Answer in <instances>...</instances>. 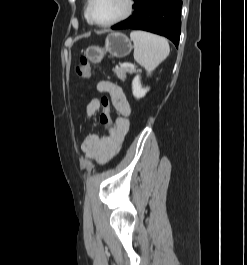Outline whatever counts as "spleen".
<instances>
[{"instance_id":"3e777b00","label":"spleen","mask_w":247,"mask_h":265,"mask_svg":"<svg viewBox=\"0 0 247 265\" xmlns=\"http://www.w3.org/2000/svg\"><path fill=\"white\" fill-rule=\"evenodd\" d=\"M130 38L134 43V59L148 74L169 55L170 47L164 37L137 30L130 33Z\"/></svg>"}]
</instances>
